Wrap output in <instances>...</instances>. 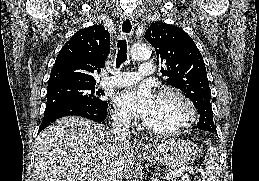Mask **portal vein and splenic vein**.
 Masks as SVG:
<instances>
[{
    "instance_id": "18ae733b",
    "label": "portal vein and splenic vein",
    "mask_w": 259,
    "mask_h": 181,
    "mask_svg": "<svg viewBox=\"0 0 259 181\" xmlns=\"http://www.w3.org/2000/svg\"><path fill=\"white\" fill-rule=\"evenodd\" d=\"M195 169H196V170H201V169L194 168V167H186V168H183V169H179V170L170 172L169 174H167V175L165 176L164 179H166V180H171V179L176 178V177H178V176H180V175H183V173H184L185 171L193 172Z\"/></svg>"
}]
</instances>
